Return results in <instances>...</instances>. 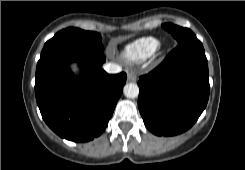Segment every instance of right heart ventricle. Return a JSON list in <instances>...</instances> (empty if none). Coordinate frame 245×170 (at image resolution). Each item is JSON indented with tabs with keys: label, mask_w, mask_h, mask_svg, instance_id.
Listing matches in <instances>:
<instances>
[{
	"label": "right heart ventricle",
	"mask_w": 245,
	"mask_h": 170,
	"mask_svg": "<svg viewBox=\"0 0 245 170\" xmlns=\"http://www.w3.org/2000/svg\"><path fill=\"white\" fill-rule=\"evenodd\" d=\"M158 39L148 36L139 38L124 47L121 55L129 62H141L150 58L158 49Z\"/></svg>",
	"instance_id": "obj_1"
}]
</instances>
